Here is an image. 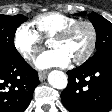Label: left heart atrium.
<instances>
[{"mask_svg": "<svg viewBox=\"0 0 112 112\" xmlns=\"http://www.w3.org/2000/svg\"><path fill=\"white\" fill-rule=\"evenodd\" d=\"M69 56L60 49H52L40 54L34 61L39 69L65 67L70 62Z\"/></svg>", "mask_w": 112, "mask_h": 112, "instance_id": "left-heart-atrium-1", "label": "left heart atrium"}]
</instances>
